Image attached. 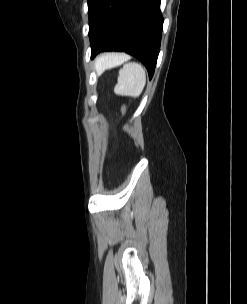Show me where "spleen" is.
I'll list each match as a JSON object with an SVG mask.
<instances>
[{
	"instance_id": "1",
	"label": "spleen",
	"mask_w": 247,
	"mask_h": 304,
	"mask_svg": "<svg viewBox=\"0 0 247 304\" xmlns=\"http://www.w3.org/2000/svg\"><path fill=\"white\" fill-rule=\"evenodd\" d=\"M125 60L123 55H111L97 61L101 63L100 69L112 68L122 64ZM146 84V74L142 65L129 62L123 65L119 71L118 81L114 92L121 96L138 97Z\"/></svg>"
}]
</instances>
